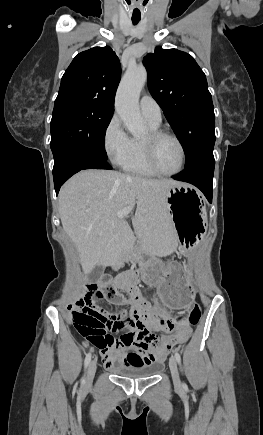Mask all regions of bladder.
<instances>
[{
	"label": "bladder",
	"instance_id": "31cf9c89",
	"mask_svg": "<svg viewBox=\"0 0 263 435\" xmlns=\"http://www.w3.org/2000/svg\"><path fill=\"white\" fill-rule=\"evenodd\" d=\"M163 365L158 362L148 363L143 366H120L114 369L115 373L126 378H149L157 375Z\"/></svg>",
	"mask_w": 263,
	"mask_h": 435
}]
</instances>
